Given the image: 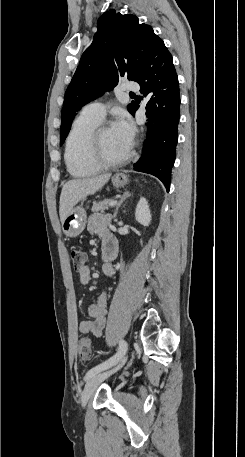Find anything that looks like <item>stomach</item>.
<instances>
[{
    "label": "stomach",
    "mask_w": 245,
    "mask_h": 457,
    "mask_svg": "<svg viewBox=\"0 0 245 457\" xmlns=\"http://www.w3.org/2000/svg\"><path fill=\"white\" fill-rule=\"evenodd\" d=\"M128 180L129 178L124 172H116V174L112 176V182L116 188L124 186V184H127ZM86 222L87 214L85 208H82V206H74L62 222V231L66 237H78V235L84 231Z\"/></svg>",
    "instance_id": "1"
}]
</instances>
